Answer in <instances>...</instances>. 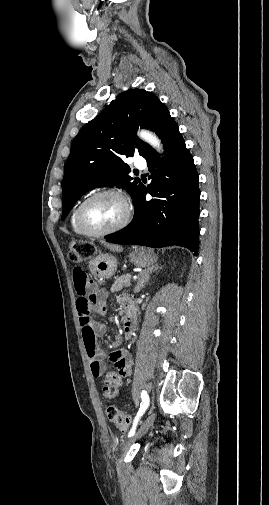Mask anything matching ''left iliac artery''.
<instances>
[{
	"label": "left iliac artery",
	"mask_w": 269,
	"mask_h": 505,
	"mask_svg": "<svg viewBox=\"0 0 269 505\" xmlns=\"http://www.w3.org/2000/svg\"><path fill=\"white\" fill-rule=\"evenodd\" d=\"M141 399H142V402L140 404V409L134 418L132 428L130 429V431L128 433V437H132L134 435L136 427H137L141 417L143 416V414L145 413L146 409L149 406V396H148L147 392L144 390L141 392Z\"/></svg>",
	"instance_id": "obj_1"
}]
</instances>
